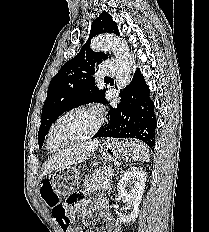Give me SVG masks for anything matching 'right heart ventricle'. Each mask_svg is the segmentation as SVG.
<instances>
[{
  "label": "right heart ventricle",
  "mask_w": 209,
  "mask_h": 232,
  "mask_svg": "<svg viewBox=\"0 0 209 232\" xmlns=\"http://www.w3.org/2000/svg\"><path fill=\"white\" fill-rule=\"evenodd\" d=\"M64 145H65V141H63V142L60 144V146H59L58 148H56V150H55V151H57V150L61 149V148H62V146H64Z\"/></svg>",
  "instance_id": "right-heart-ventricle-1"
}]
</instances>
